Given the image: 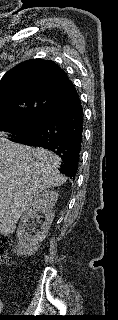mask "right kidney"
<instances>
[{
    "label": "right kidney",
    "mask_w": 118,
    "mask_h": 320,
    "mask_svg": "<svg viewBox=\"0 0 118 320\" xmlns=\"http://www.w3.org/2000/svg\"><path fill=\"white\" fill-rule=\"evenodd\" d=\"M58 192L44 190L37 195L31 206L24 211L18 228V251L22 254H33L38 250L39 244L47 237L48 230L53 222L55 213L54 205L58 200ZM41 218H44L43 222ZM40 226V229H38ZM34 234V235H32Z\"/></svg>",
    "instance_id": "obj_1"
}]
</instances>
